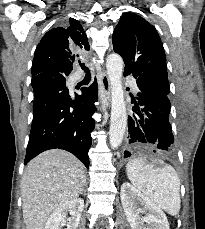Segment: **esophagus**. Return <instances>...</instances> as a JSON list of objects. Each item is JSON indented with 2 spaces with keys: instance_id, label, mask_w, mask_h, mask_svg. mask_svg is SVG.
Returning <instances> with one entry per match:
<instances>
[{
  "instance_id": "obj_1",
  "label": "esophagus",
  "mask_w": 205,
  "mask_h": 229,
  "mask_svg": "<svg viewBox=\"0 0 205 229\" xmlns=\"http://www.w3.org/2000/svg\"><path fill=\"white\" fill-rule=\"evenodd\" d=\"M98 99L100 102L99 109L104 111L105 105L109 106L110 104V81L105 73L102 75V83L98 91Z\"/></svg>"
}]
</instances>
